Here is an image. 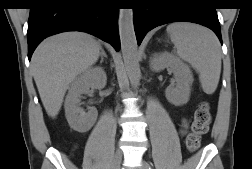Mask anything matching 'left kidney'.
<instances>
[{
  "mask_svg": "<svg viewBox=\"0 0 252 169\" xmlns=\"http://www.w3.org/2000/svg\"><path fill=\"white\" fill-rule=\"evenodd\" d=\"M164 61L170 64L174 69V75L176 79L175 86L169 88L168 96L173 102H182L188 96L187 83L189 80V74L187 68L178 61H172L165 57Z\"/></svg>",
  "mask_w": 252,
  "mask_h": 169,
  "instance_id": "5707ae66",
  "label": "left kidney"
}]
</instances>
